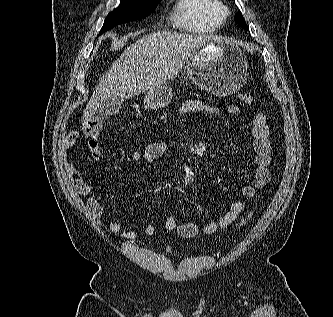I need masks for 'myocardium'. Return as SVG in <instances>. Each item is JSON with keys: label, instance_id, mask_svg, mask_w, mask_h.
I'll list each match as a JSON object with an SVG mask.
<instances>
[{"label": "myocardium", "instance_id": "myocardium-1", "mask_svg": "<svg viewBox=\"0 0 333 317\" xmlns=\"http://www.w3.org/2000/svg\"><path fill=\"white\" fill-rule=\"evenodd\" d=\"M219 12L225 18L229 15V8L225 4L220 2Z\"/></svg>", "mask_w": 333, "mask_h": 317}]
</instances>
